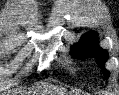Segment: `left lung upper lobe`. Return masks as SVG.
<instances>
[{
    "label": "left lung upper lobe",
    "mask_w": 119,
    "mask_h": 95,
    "mask_svg": "<svg viewBox=\"0 0 119 95\" xmlns=\"http://www.w3.org/2000/svg\"><path fill=\"white\" fill-rule=\"evenodd\" d=\"M71 54L78 59L83 58L84 56L94 57L96 63L102 69L105 78L108 79L109 72L104 67L105 62L108 59V53L98 46V38L95 32L85 33L80 42L71 47Z\"/></svg>",
    "instance_id": "1"
}]
</instances>
